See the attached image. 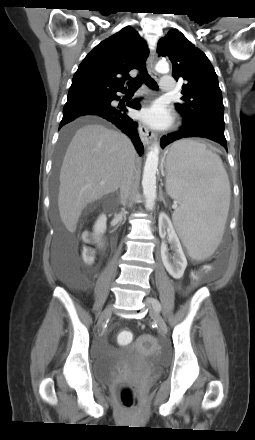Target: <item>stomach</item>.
<instances>
[{
  "mask_svg": "<svg viewBox=\"0 0 255 440\" xmlns=\"http://www.w3.org/2000/svg\"><path fill=\"white\" fill-rule=\"evenodd\" d=\"M169 156H170V152H169V154L167 156V164L169 163Z\"/></svg>",
  "mask_w": 255,
  "mask_h": 440,
  "instance_id": "stomach-1",
  "label": "stomach"
}]
</instances>
